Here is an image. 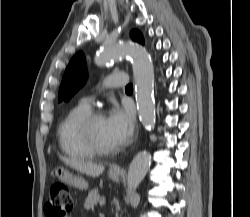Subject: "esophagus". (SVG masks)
I'll return each instance as SVG.
<instances>
[{"label":"esophagus","instance_id":"34e87169","mask_svg":"<svg viewBox=\"0 0 250 217\" xmlns=\"http://www.w3.org/2000/svg\"><path fill=\"white\" fill-rule=\"evenodd\" d=\"M113 170L119 171L120 169L117 167H113Z\"/></svg>","mask_w":250,"mask_h":217}]
</instances>
